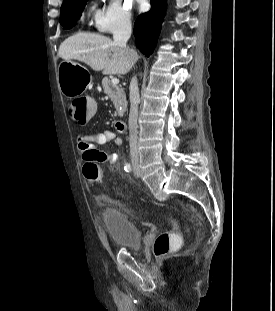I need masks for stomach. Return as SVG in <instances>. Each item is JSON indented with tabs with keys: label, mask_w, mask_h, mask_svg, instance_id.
Segmentation results:
<instances>
[{
	"label": "stomach",
	"mask_w": 275,
	"mask_h": 311,
	"mask_svg": "<svg viewBox=\"0 0 275 311\" xmlns=\"http://www.w3.org/2000/svg\"><path fill=\"white\" fill-rule=\"evenodd\" d=\"M92 82V76L82 65L71 60H64L58 66V85L66 97L82 95Z\"/></svg>",
	"instance_id": "1"
}]
</instances>
